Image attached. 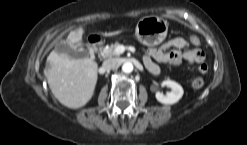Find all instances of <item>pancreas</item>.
<instances>
[{"mask_svg":"<svg viewBox=\"0 0 247 145\" xmlns=\"http://www.w3.org/2000/svg\"><path fill=\"white\" fill-rule=\"evenodd\" d=\"M120 44L117 42V43H114V44H111L110 46H107L105 48H103L101 50V55L104 57V58H112V57H117L119 54H117L115 52V49L119 46Z\"/></svg>","mask_w":247,"mask_h":145,"instance_id":"1","label":"pancreas"}]
</instances>
